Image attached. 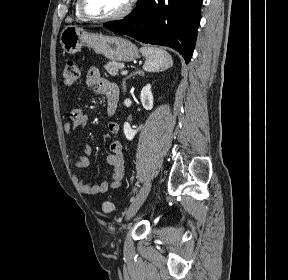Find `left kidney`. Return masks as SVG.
<instances>
[{
	"instance_id": "obj_1",
	"label": "left kidney",
	"mask_w": 288,
	"mask_h": 280,
	"mask_svg": "<svg viewBox=\"0 0 288 280\" xmlns=\"http://www.w3.org/2000/svg\"><path fill=\"white\" fill-rule=\"evenodd\" d=\"M141 103L146 110H151L153 108L154 98L151 91V85L147 84L145 87L142 88L141 95H140ZM141 129V127H140ZM124 134L128 140H132L139 129L134 130L130 127L129 123H124Z\"/></svg>"
}]
</instances>
